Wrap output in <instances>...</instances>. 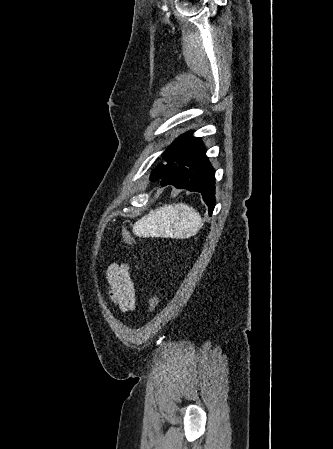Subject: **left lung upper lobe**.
Returning a JSON list of instances; mask_svg holds the SVG:
<instances>
[{
    "label": "left lung upper lobe",
    "mask_w": 333,
    "mask_h": 449,
    "mask_svg": "<svg viewBox=\"0 0 333 449\" xmlns=\"http://www.w3.org/2000/svg\"><path fill=\"white\" fill-rule=\"evenodd\" d=\"M198 138L192 132L178 137L162 154L166 163L159 164L151 174V180H158L173 172L187 159Z\"/></svg>",
    "instance_id": "obj_1"
}]
</instances>
